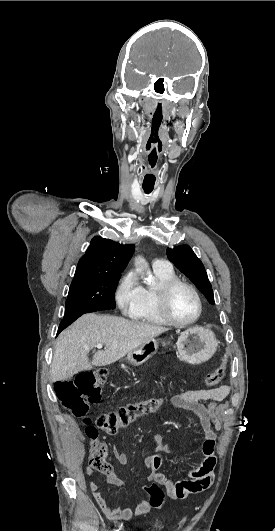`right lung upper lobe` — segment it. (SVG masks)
<instances>
[{
  "label": "right lung upper lobe",
  "mask_w": 275,
  "mask_h": 531,
  "mask_svg": "<svg viewBox=\"0 0 275 531\" xmlns=\"http://www.w3.org/2000/svg\"><path fill=\"white\" fill-rule=\"evenodd\" d=\"M135 246L123 245L96 236L85 255L78 262L74 277L89 275H120L126 267Z\"/></svg>",
  "instance_id": "obj_1"
}]
</instances>
